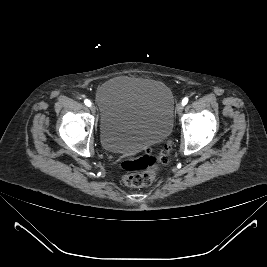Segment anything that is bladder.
Instances as JSON below:
<instances>
[{
  "instance_id": "bladder-1",
  "label": "bladder",
  "mask_w": 267,
  "mask_h": 267,
  "mask_svg": "<svg viewBox=\"0 0 267 267\" xmlns=\"http://www.w3.org/2000/svg\"><path fill=\"white\" fill-rule=\"evenodd\" d=\"M103 148L131 153L165 140L173 128L174 97L163 83L119 76L96 94Z\"/></svg>"
}]
</instances>
